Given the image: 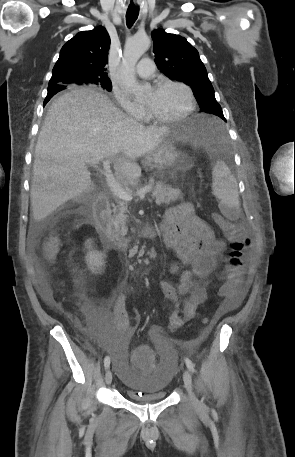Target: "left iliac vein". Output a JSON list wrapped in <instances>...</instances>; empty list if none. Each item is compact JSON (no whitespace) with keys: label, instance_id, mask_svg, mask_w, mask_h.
I'll return each instance as SVG.
<instances>
[{"label":"left iliac vein","instance_id":"4c4485c4","mask_svg":"<svg viewBox=\"0 0 295 457\" xmlns=\"http://www.w3.org/2000/svg\"><path fill=\"white\" fill-rule=\"evenodd\" d=\"M183 380H184L185 387H186V389L188 391L191 403L194 406H197L199 404V401H198L197 397L195 396V394L193 392L191 375H190V372L187 369L184 370V372H183Z\"/></svg>","mask_w":295,"mask_h":457}]
</instances>
